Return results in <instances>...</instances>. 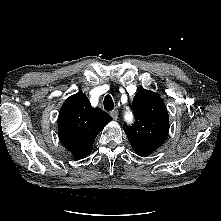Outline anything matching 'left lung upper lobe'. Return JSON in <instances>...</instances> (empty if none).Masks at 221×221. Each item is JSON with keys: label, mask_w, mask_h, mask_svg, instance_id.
I'll return each instance as SVG.
<instances>
[{"label": "left lung upper lobe", "mask_w": 221, "mask_h": 221, "mask_svg": "<svg viewBox=\"0 0 221 221\" xmlns=\"http://www.w3.org/2000/svg\"><path fill=\"white\" fill-rule=\"evenodd\" d=\"M132 110L133 126H123L133 150L148 156L165 141L169 130V117L163 100L154 92L140 90L136 93Z\"/></svg>", "instance_id": "1"}]
</instances>
